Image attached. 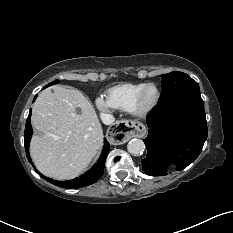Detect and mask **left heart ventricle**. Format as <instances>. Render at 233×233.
<instances>
[{
	"instance_id": "left-heart-ventricle-1",
	"label": "left heart ventricle",
	"mask_w": 233,
	"mask_h": 233,
	"mask_svg": "<svg viewBox=\"0 0 233 233\" xmlns=\"http://www.w3.org/2000/svg\"><path fill=\"white\" fill-rule=\"evenodd\" d=\"M155 98H156V90L153 87H149L144 92L143 104L149 105L155 100Z\"/></svg>"
}]
</instances>
